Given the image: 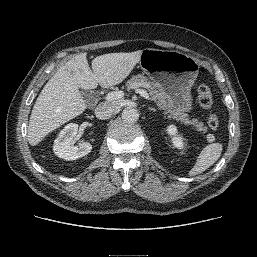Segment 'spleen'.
I'll return each mask as SVG.
<instances>
[{"label": "spleen", "mask_w": 257, "mask_h": 257, "mask_svg": "<svg viewBox=\"0 0 257 257\" xmlns=\"http://www.w3.org/2000/svg\"><path fill=\"white\" fill-rule=\"evenodd\" d=\"M221 152L222 144L220 143H212L204 147L188 175L195 176L204 172L219 159Z\"/></svg>", "instance_id": "obj_1"}]
</instances>
